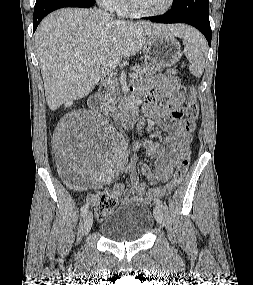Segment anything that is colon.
<instances>
[{"instance_id":"1","label":"colon","mask_w":253,"mask_h":285,"mask_svg":"<svg viewBox=\"0 0 253 285\" xmlns=\"http://www.w3.org/2000/svg\"><path fill=\"white\" fill-rule=\"evenodd\" d=\"M188 97L189 100L185 110L186 118L191 122H195L198 119L200 113V108L197 99V90L195 86L190 87L188 92ZM189 164H190V152L188 151L181 158L171 182L164 188L150 189L149 194L152 197H154L161 192L169 193L174 189H176L183 181L187 173ZM117 202H118V197L113 191H104L93 198V207L98 216L100 218H103L108 213V211H110L112 208L116 206Z\"/></svg>"}]
</instances>
